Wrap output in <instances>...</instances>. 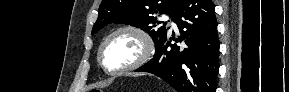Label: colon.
Returning a JSON list of instances; mask_svg holds the SVG:
<instances>
[{
  "label": "colon",
  "instance_id": "1",
  "mask_svg": "<svg viewBox=\"0 0 289 92\" xmlns=\"http://www.w3.org/2000/svg\"><path fill=\"white\" fill-rule=\"evenodd\" d=\"M91 92H100L99 90H97V89H94V90H92Z\"/></svg>",
  "mask_w": 289,
  "mask_h": 92
}]
</instances>
